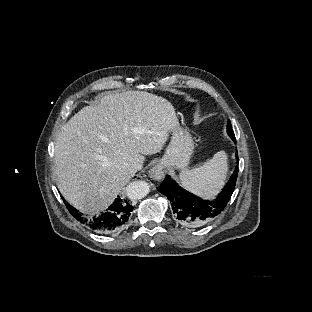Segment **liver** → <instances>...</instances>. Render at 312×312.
<instances>
[{"label": "liver", "mask_w": 312, "mask_h": 312, "mask_svg": "<svg viewBox=\"0 0 312 312\" xmlns=\"http://www.w3.org/2000/svg\"><path fill=\"white\" fill-rule=\"evenodd\" d=\"M178 125L163 97L145 91L104 95L71 117L56 138L58 189L82 213L107 209L133 176L130 165L160 152Z\"/></svg>", "instance_id": "liver-1"}]
</instances>
